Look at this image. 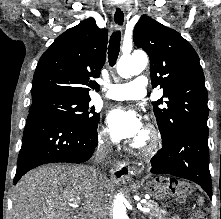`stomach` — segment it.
Listing matches in <instances>:
<instances>
[{
    "label": "stomach",
    "mask_w": 221,
    "mask_h": 219,
    "mask_svg": "<svg viewBox=\"0 0 221 219\" xmlns=\"http://www.w3.org/2000/svg\"><path fill=\"white\" fill-rule=\"evenodd\" d=\"M167 183H178V178H153L146 184L145 189L152 199H173L175 191H179V188L176 187L175 190H172V186Z\"/></svg>",
    "instance_id": "1"
}]
</instances>
